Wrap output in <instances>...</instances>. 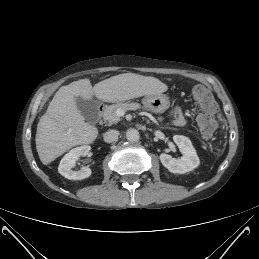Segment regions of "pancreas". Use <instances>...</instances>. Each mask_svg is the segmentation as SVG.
I'll return each mask as SVG.
<instances>
[{"mask_svg": "<svg viewBox=\"0 0 259 259\" xmlns=\"http://www.w3.org/2000/svg\"><path fill=\"white\" fill-rule=\"evenodd\" d=\"M141 105L139 103H118L109 106L103 113L104 121L108 122L109 125L117 123L120 121V116L117 114L118 110L128 111L140 109Z\"/></svg>", "mask_w": 259, "mask_h": 259, "instance_id": "cf45deb5", "label": "pancreas"}]
</instances>
